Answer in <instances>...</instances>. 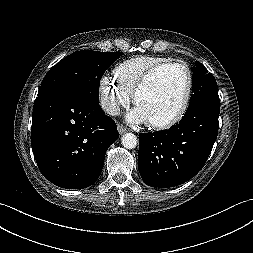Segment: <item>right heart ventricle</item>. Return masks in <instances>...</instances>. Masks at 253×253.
<instances>
[{
    "label": "right heart ventricle",
    "instance_id": "1",
    "mask_svg": "<svg viewBox=\"0 0 253 253\" xmlns=\"http://www.w3.org/2000/svg\"><path fill=\"white\" fill-rule=\"evenodd\" d=\"M168 61L169 58L162 56H135L114 68V79L128 93L133 94L136 85L149 69Z\"/></svg>",
    "mask_w": 253,
    "mask_h": 253
}]
</instances>
